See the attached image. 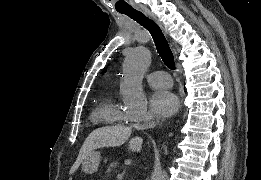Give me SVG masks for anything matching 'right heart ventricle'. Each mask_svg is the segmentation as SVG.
Here are the masks:
<instances>
[{
  "instance_id": "e07e8e85",
  "label": "right heart ventricle",
  "mask_w": 261,
  "mask_h": 180,
  "mask_svg": "<svg viewBox=\"0 0 261 180\" xmlns=\"http://www.w3.org/2000/svg\"><path fill=\"white\" fill-rule=\"evenodd\" d=\"M121 114L115 96L109 95L95 105L91 121H105V126L93 127H122Z\"/></svg>"
}]
</instances>
